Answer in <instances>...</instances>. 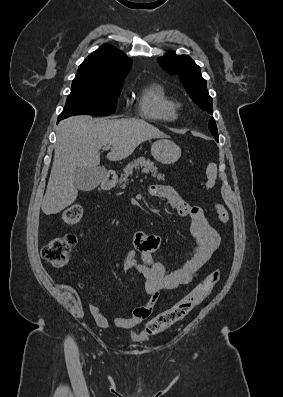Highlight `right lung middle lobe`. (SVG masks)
I'll return each instance as SVG.
<instances>
[{
	"label": "right lung middle lobe",
	"mask_w": 283,
	"mask_h": 397,
	"mask_svg": "<svg viewBox=\"0 0 283 397\" xmlns=\"http://www.w3.org/2000/svg\"><path fill=\"white\" fill-rule=\"evenodd\" d=\"M123 80L105 81L76 76L59 119L73 115H110L116 111Z\"/></svg>",
	"instance_id": "dd1d6c3e"
}]
</instances>
